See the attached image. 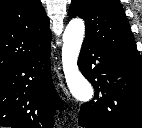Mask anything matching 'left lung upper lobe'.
I'll use <instances>...</instances> for the list:
<instances>
[{
  "mask_svg": "<svg viewBox=\"0 0 142 128\" xmlns=\"http://www.w3.org/2000/svg\"><path fill=\"white\" fill-rule=\"evenodd\" d=\"M70 18L85 20V40L94 42L117 57L142 64L128 19L119 0H72Z\"/></svg>",
  "mask_w": 142,
  "mask_h": 128,
  "instance_id": "left-lung-upper-lobe-1",
  "label": "left lung upper lobe"
}]
</instances>
